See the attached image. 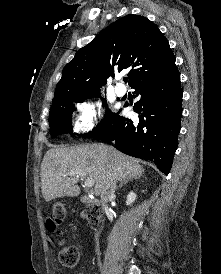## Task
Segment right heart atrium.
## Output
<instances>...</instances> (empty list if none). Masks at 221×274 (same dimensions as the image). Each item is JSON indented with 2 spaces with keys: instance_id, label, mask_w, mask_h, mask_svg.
Segmentation results:
<instances>
[{
  "instance_id": "1",
  "label": "right heart atrium",
  "mask_w": 221,
  "mask_h": 274,
  "mask_svg": "<svg viewBox=\"0 0 221 274\" xmlns=\"http://www.w3.org/2000/svg\"><path fill=\"white\" fill-rule=\"evenodd\" d=\"M101 116L100 105L93 100H84L77 103V114L74 120V131L86 133L93 130Z\"/></svg>"
}]
</instances>
